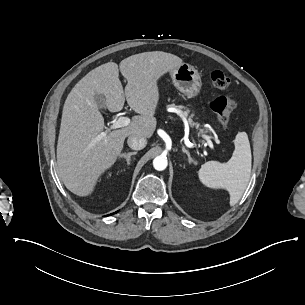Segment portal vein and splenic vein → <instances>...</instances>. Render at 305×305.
Returning <instances> with one entry per match:
<instances>
[{
  "mask_svg": "<svg viewBox=\"0 0 305 305\" xmlns=\"http://www.w3.org/2000/svg\"><path fill=\"white\" fill-rule=\"evenodd\" d=\"M175 109V108H173ZM176 113L179 112V110L175 109ZM130 123V119L128 117H119V119L117 121H113L112 125L110 126V129H117V128H121V127H125L128 126ZM107 135V131L105 132H101L98 136H97V140H101L103 137H105ZM203 138L207 141L208 145L210 148H213V143L210 140V136L208 135H203Z\"/></svg>",
  "mask_w": 305,
  "mask_h": 305,
  "instance_id": "obj_1",
  "label": "portal vein and splenic vein"
}]
</instances>
